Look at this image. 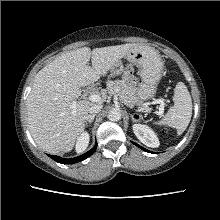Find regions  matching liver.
I'll list each match as a JSON object with an SVG mask.
<instances>
[{"label": "liver", "mask_w": 220, "mask_h": 220, "mask_svg": "<svg viewBox=\"0 0 220 220\" xmlns=\"http://www.w3.org/2000/svg\"><path fill=\"white\" fill-rule=\"evenodd\" d=\"M137 44L95 48L82 47L62 54L43 67L35 76L27 98L28 124L37 144L49 153L69 152L84 132L93 102L79 99L81 87L94 84ZM92 62V66L88 62ZM76 102L75 106L73 102Z\"/></svg>", "instance_id": "1"}]
</instances>
